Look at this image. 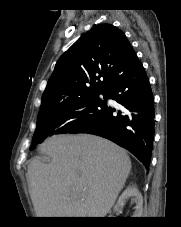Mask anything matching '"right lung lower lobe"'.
<instances>
[{"instance_id":"98d812e1","label":"right lung lower lobe","mask_w":181,"mask_h":227,"mask_svg":"<svg viewBox=\"0 0 181 227\" xmlns=\"http://www.w3.org/2000/svg\"><path fill=\"white\" fill-rule=\"evenodd\" d=\"M108 98L123 106L107 107L90 126L78 133H91L112 140L134 154L149 168L154 139V98L145 69L137 56L108 88Z\"/></svg>"}]
</instances>
